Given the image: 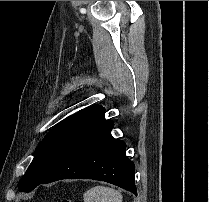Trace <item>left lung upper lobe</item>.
Listing matches in <instances>:
<instances>
[{"label":"left lung upper lobe","mask_w":209,"mask_h":202,"mask_svg":"<svg viewBox=\"0 0 209 202\" xmlns=\"http://www.w3.org/2000/svg\"><path fill=\"white\" fill-rule=\"evenodd\" d=\"M101 108L100 105L89 106L67 117L48 132L37 155L18 183L20 191L30 192L42 183L70 136L88 117Z\"/></svg>","instance_id":"5c2ea615"}]
</instances>
